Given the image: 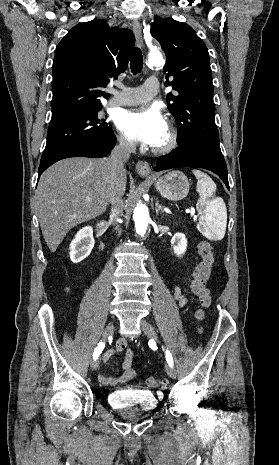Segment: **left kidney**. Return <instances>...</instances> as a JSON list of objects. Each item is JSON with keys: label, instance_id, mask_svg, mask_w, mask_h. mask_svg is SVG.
<instances>
[{"label": "left kidney", "instance_id": "left-kidney-1", "mask_svg": "<svg viewBox=\"0 0 279 465\" xmlns=\"http://www.w3.org/2000/svg\"><path fill=\"white\" fill-rule=\"evenodd\" d=\"M174 254L178 257L184 255L187 248V239L183 233H176L171 239Z\"/></svg>", "mask_w": 279, "mask_h": 465}]
</instances>
